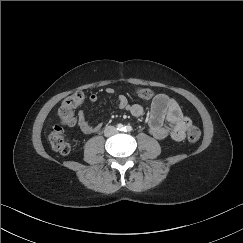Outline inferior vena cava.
Wrapping results in <instances>:
<instances>
[{
    "instance_id": "inferior-vena-cava-1",
    "label": "inferior vena cava",
    "mask_w": 243,
    "mask_h": 243,
    "mask_svg": "<svg viewBox=\"0 0 243 243\" xmlns=\"http://www.w3.org/2000/svg\"><path fill=\"white\" fill-rule=\"evenodd\" d=\"M117 133V130L114 126H107L104 130V134L106 137L112 136Z\"/></svg>"
}]
</instances>
